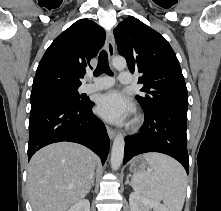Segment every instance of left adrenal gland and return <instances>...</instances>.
Wrapping results in <instances>:
<instances>
[{
    "label": "left adrenal gland",
    "instance_id": "obj_1",
    "mask_svg": "<svg viewBox=\"0 0 221 211\" xmlns=\"http://www.w3.org/2000/svg\"><path fill=\"white\" fill-rule=\"evenodd\" d=\"M129 177L130 175H127L126 182H125L126 185L129 184Z\"/></svg>",
    "mask_w": 221,
    "mask_h": 211
}]
</instances>
